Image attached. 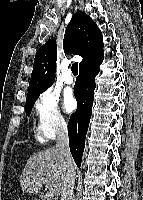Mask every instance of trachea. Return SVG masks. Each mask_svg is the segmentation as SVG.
I'll return each instance as SVG.
<instances>
[{
	"mask_svg": "<svg viewBox=\"0 0 143 200\" xmlns=\"http://www.w3.org/2000/svg\"><path fill=\"white\" fill-rule=\"evenodd\" d=\"M72 73L73 75H77L78 74V63L75 62L72 67H71Z\"/></svg>",
	"mask_w": 143,
	"mask_h": 200,
	"instance_id": "1",
	"label": "trachea"
}]
</instances>
